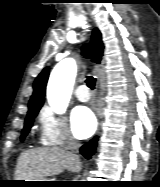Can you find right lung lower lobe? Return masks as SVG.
Wrapping results in <instances>:
<instances>
[{
  "label": "right lung lower lobe",
  "instance_id": "right-lung-lower-lobe-1",
  "mask_svg": "<svg viewBox=\"0 0 160 187\" xmlns=\"http://www.w3.org/2000/svg\"><path fill=\"white\" fill-rule=\"evenodd\" d=\"M98 137L95 136L90 142L86 143L80 148V153L86 158L90 159L91 156L95 153L97 147Z\"/></svg>",
  "mask_w": 160,
  "mask_h": 187
}]
</instances>
